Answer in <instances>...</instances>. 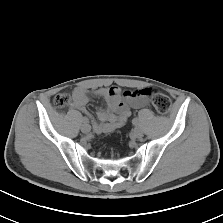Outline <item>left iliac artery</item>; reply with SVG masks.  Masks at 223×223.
Masks as SVG:
<instances>
[{"instance_id":"obj_1","label":"left iliac artery","mask_w":223,"mask_h":223,"mask_svg":"<svg viewBox=\"0 0 223 223\" xmlns=\"http://www.w3.org/2000/svg\"><path fill=\"white\" fill-rule=\"evenodd\" d=\"M133 125L137 126L139 124V120L137 118H134L132 120Z\"/></svg>"}]
</instances>
